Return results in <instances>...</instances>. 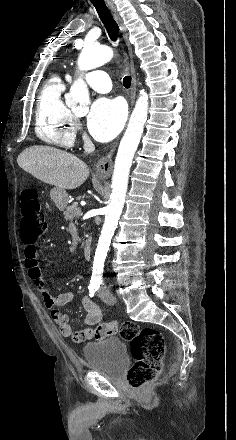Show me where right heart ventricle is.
Listing matches in <instances>:
<instances>
[{"label":"right heart ventricle","instance_id":"right-heart-ventricle-1","mask_svg":"<svg viewBox=\"0 0 236 440\" xmlns=\"http://www.w3.org/2000/svg\"><path fill=\"white\" fill-rule=\"evenodd\" d=\"M65 84L57 75L44 84L36 105V134L44 142L69 148L75 140L76 121L63 101Z\"/></svg>","mask_w":236,"mask_h":440}]
</instances>
